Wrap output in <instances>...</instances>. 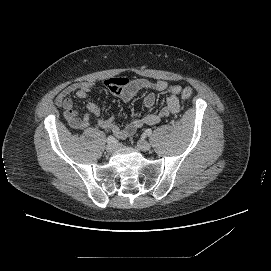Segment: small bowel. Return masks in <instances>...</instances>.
Here are the masks:
<instances>
[{
    "mask_svg": "<svg viewBox=\"0 0 271 271\" xmlns=\"http://www.w3.org/2000/svg\"><path fill=\"white\" fill-rule=\"evenodd\" d=\"M108 90L125 102L130 101L139 91H148L143 103L146 108H152L155 104V92L166 91L168 96L162 109L157 113H147L141 118H136L129 124L121 127L115 123L114 117H101L100 107L91 100H87V113L80 115L73 108V101L70 95H75L80 99H87L89 92L93 88L91 82H77L67 86L55 98V103L63 109V115L70 127L84 130L90 124V115L98 117V125L110 130L116 137L125 138L134 134L144 125H156L164 117L175 115L180 111V101L178 95L182 92V87L177 84H169L164 80L151 82L144 79L129 80L128 78H111L104 82Z\"/></svg>",
    "mask_w": 271,
    "mask_h": 271,
    "instance_id": "1",
    "label": "small bowel"
}]
</instances>
